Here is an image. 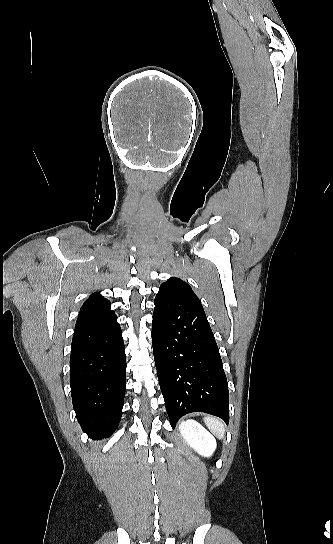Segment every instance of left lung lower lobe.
<instances>
[{
	"label": "left lung lower lobe",
	"instance_id": "1",
	"mask_svg": "<svg viewBox=\"0 0 333 544\" xmlns=\"http://www.w3.org/2000/svg\"><path fill=\"white\" fill-rule=\"evenodd\" d=\"M152 345L171 426L205 412L229 421V391L219 350L201 303L155 301Z\"/></svg>",
	"mask_w": 333,
	"mask_h": 544
}]
</instances>
